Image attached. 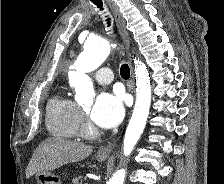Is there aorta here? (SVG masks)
Listing matches in <instances>:
<instances>
[{"label": "aorta", "instance_id": "762f6f07", "mask_svg": "<svg viewBox=\"0 0 224 184\" xmlns=\"http://www.w3.org/2000/svg\"><path fill=\"white\" fill-rule=\"evenodd\" d=\"M113 45L106 39L88 38L84 43V51L69 71V84L75 90V100L79 104H92L95 96L92 81L87 73L96 70L108 57ZM136 77V102L127 126L123 152L129 156L137 144L145 128L150 105L151 83L146 65L139 59L134 60ZM126 170L119 169L110 180V184H124Z\"/></svg>", "mask_w": 224, "mask_h": 184}]
</instances>
